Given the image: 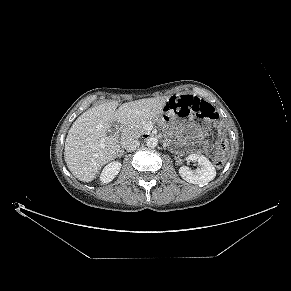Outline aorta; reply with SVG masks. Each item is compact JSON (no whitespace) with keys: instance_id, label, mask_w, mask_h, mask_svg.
I'll use <instances>...</instances> for the list:
<instances>
[{"instance_id":"762f6f07","label":"aorta","mask_w":291,"mask_h":291,"mask_svg":"<svg viewBox=\"0 0 291 291\" xmlns=\"http://www.w3.org/2000/svg\"><path fill=\"white\" fill-rule=\"evenodd\" d=\"M158 144V140L155 137H150L147 139V146L150 148H155Z\"/></svg>"}]
</instances>
